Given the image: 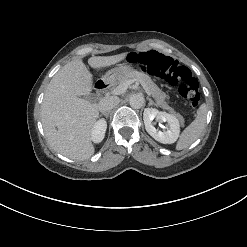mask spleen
Listing matches in <instances>:
<instances>
[{"label":"spleen","mask_w":247,"mask_h":247,"mask_svg":"<svg viewBox=\"0 0 247 247\" xmlns=\"http://www.w3.org/2000/svg\"><path fill=\"white\" fill-rule=\"evenodd\" d=\"M206 115L207 106L205 104H202L197 110V116L194 121L182 132L176 145L177 150H183L189 147L200 137L205 127Z\"/></svg>","instance_id":"1"}]
</instances>
